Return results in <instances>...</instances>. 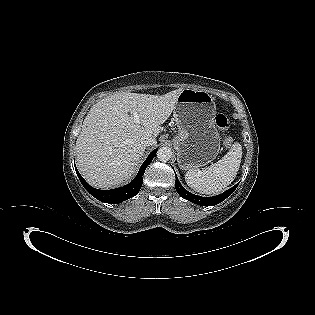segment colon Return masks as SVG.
Masks as SVG:
<instances>
[{"mask_svg": "<svg viewBox=\"0 0 315 315\" xmlns=\"http://www.w3.org/2000/svg\"><path fill=\"white\" fill-rule=\"evenodd\" d=\"M215 124L222 131H227L230 128V121L224 114L216 116ZM221 144L223 147L228 148L233 146L234 141L231 137H225L222 139Z\"/></svg>", "mask_w": 315, "mask_h": 315, "instance_id": "1", "label": "colon"}]
</instances>
